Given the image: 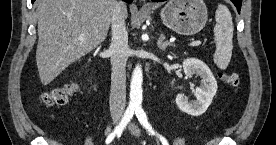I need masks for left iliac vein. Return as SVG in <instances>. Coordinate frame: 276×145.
<instances>
[{
	"mask_svg": "<svg viewBox=\"0 0 276 145\" xmlns=\"http://www.w3.org/2000/svg\"><path fill=\"white\" fill-rule=\"evenodd\" d=\"M129 129L131 130V132H132L134 135L139 136L140 131H139V129H138L134 124H130V125H129Z\"/></svg>",
	"mask_w": 276,
	"mask_h": 145,
	"instance_id": "1",
	"label": "left iliac vein"
}]
</instances>
